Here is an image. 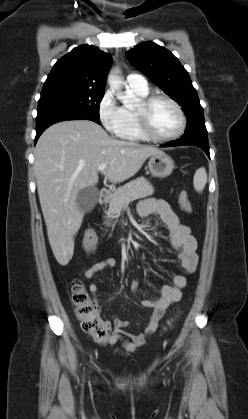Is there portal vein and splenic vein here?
<instances>
[{
	"label": "portal vein and splenic vein",
	"mask_w": 248,
	"mask_h": 419,
	"mask_svg": "<svg viewBox=\"0 0 248 419\" xmlns=\"http://www.w3.org/2000/svg\"><path fill=\"white\" fill-rule=\"evenodd\" d=\"M107 166H108L107 163L100 164L98 167V171L103 173L105 169L107 168Z\"/></svg>",
	"instance_id": "18ae733b"
}]
</instances>
